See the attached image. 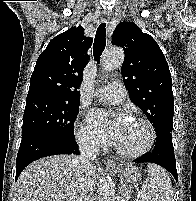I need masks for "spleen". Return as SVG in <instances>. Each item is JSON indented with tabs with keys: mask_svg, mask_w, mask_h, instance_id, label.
I'll use <instances>...</instances> for the list:
<instances>
[{
	"mask_svg": "<svg viewBox=\"0 0 196 201\" xmlns=\"http://www.w3.org/2000/svg\"><path fill=\"white\" fill-rule=\"evenodd\" d=\"M148 177L141 188L140 201H173V190L167 172L158 165L148 164Z\"/></svg>",
	"mask_w": 196,
	"mask_h": 201,
	"instance_id": "1",
	"label": "spleen"
}]
</instances>
